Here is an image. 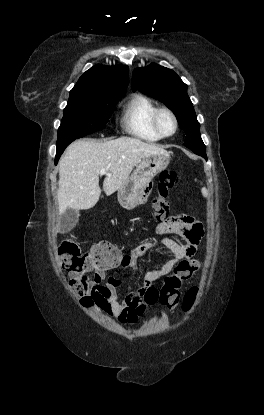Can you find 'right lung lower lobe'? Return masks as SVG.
Wrapping results in <instances>:
<instances>
[{"label":"right lung lower lobe","instance_id":"1","mask_svg":"<svg viewBox=\"0 0 264 415\" xmlns=\"http://www.w3.org/2000/svg\"><path fill=\"white\" fill-rule=\"evenodd\" d=\"M64 149H65V148H62V149L57 150V153H56V158H55V163H56V164H57V162H58V160H59V158H60L61 154L63 153Z\"/></svg>","mask_w":264,"mask_h":415}]
</instances>
